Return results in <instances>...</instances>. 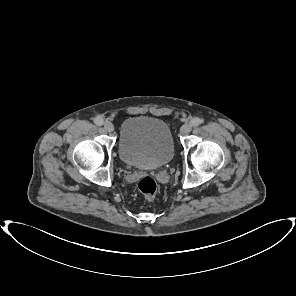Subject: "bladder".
<instances>
[{
    "label": "bladder",
    "mask_w": 296,
    "mask_h": 296,
    "mask_svg": "<svg viewBox=\"0 0 296 296\" xmlns=\"http://www.w3.org/2000/svg\"><path fill=\"white\" fill-rule=\"evenodd\" d=\"M121 161L139 169H158L173 158L174 143L169 126L161 119L137 116L126 119L118 140Z\"/></svg>",
    "instance_id": "bladder-1"
}]
</instances>
